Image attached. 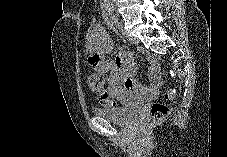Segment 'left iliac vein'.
<instances>
[{"mask_svg":"<svg viewBox=\"0 0 227 157\" xmlns=\"http://www.w3.org/2000/svg\"><path fill=\"white\" fill-rule=\"evenodd\" d=\"M119 29H120L121 33H123L124 35H126L127 38H129V36L127 35V33H126V31H125V29L123 27V23L122 22L119 23ZM129 40L132 43H135V44L139 43V40L137 38H129Z\"/></svg>","mask_w":227,"mask_h":157,"instance_id":"1","label":"left iliac vein"}]
</instances>
